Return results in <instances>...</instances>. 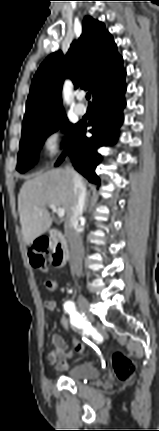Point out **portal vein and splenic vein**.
<instances>
[{
  "mask_svg": "<svg viewBox=\"0 0 159 431\" xmlns=\"http://www.w3.org/2000/svg\"><path fill=\"white\" fill-rule=\"evenodd\" d=\"M49 208L55 212L59 218H63L65 215V210L62 208H57L54 204H49Z\"/></svg>",
  "mask_w": 159,
  "mask_h": 431,
  "instance_id": "1",
  "label": "portal vein and splenic vein"
}]
</instances>
